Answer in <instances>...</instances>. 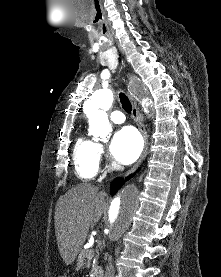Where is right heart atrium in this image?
I'll use <instances>...</instances> for the list:
<instances>
[{
    "label": "right heart atrium",
    "mask_w": 221,
    "mask_h": 277,
    "mask_svg": "<svg viewBox=\"0 0 221 277\" xmlns=\"http://www.w3.org/2000/svg\"><path fill=\"white\" fill-rule=\"evenodd\" d=\"M99 158H103L104 156V151H103V147L101 145H99Z\"/></svg>",
    "instance_id": "1"
}]
</instances>
